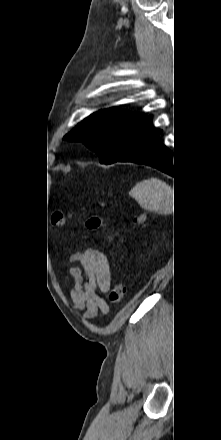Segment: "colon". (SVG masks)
<instances>
[{
	"instance_id": "obj_1",
	"label": "colon",
	"mask_w": 221,
	"mask_h": 440,
	"mask_svg": "<svg viewBox=\"0 0 221 440\" xmlns=\"http://www.w3.org/2000/svg\"><path fill=\"white\" fill-rule=\"evenodd\" d=\"M146 215L142 211H135L131 214L130 224L140 226L145 222ZM52 223L57 226H62L67 221V216L62 211H56L51 217ZM100 225L99 219H90L87 222V227L91 230L98 228ZM124 287L120 283H115L108 293V299L115 304L122 302L124 298Z\"/></svg>"
}]
</instances>
